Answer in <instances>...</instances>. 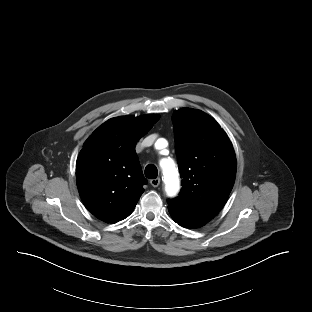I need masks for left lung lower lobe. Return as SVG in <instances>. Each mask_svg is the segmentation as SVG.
Masks as SVG:
<instances>
[{"instance_id": "left-lung-lower-lobe-1", "label": "left lung lower lobe", "mask_w": 312, "mask_h": 312, "mask_svg": "<svg viewBox=\"0 0 312 312\" xmlns=\"http://www.w3.org/2000/svg\"><path fill=\"white\" fill-rule=\"evenodd\" d=\"M169 212H170V215L173 218V220L181 226L188 227V228H197V227H200L203 225V224H199V223L193 222L191 220H188L186 218L180 217L171 211H169Z\"/></svg>"}]
</instances>
